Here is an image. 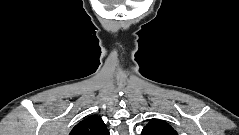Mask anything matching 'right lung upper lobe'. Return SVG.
<instances>
[{"instance_id": "right-lung-upper-lobe-1", "label": "right lung upper lobe", "mask_w": 239, "mask_h": 135, "mask_svg": "<svg viewBox=\"0 0 239 135\" xmlns=\"http://www.w3.org/2000/svg\"><path fill=\"white\" fill-rule=\"evenodd\" d=\"M70 135H110L103 120L96 115L79 122L70 132Z\"/></svg>"}]
</instances>
